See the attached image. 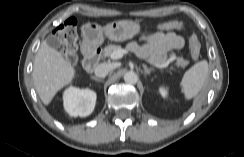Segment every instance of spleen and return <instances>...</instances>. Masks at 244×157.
I'll list each match as a JSON object with an SVG mask.
<instances>
[{
  "instance_id": "3e777b00",
  "label": "spleen",
  "mask_w": 244,
  "mask_h": 157,
  "mask_svg": "<svg viewBox=\"0 0 244 157\" xmlns=\"http://www.w3.org/2000/svg\"><path fill=\"white\" fill-rule=\"evenodd\" d=\"M208 68L207 60H201L184 73L180 87L185 99L190 100L200 92L206 81Z\"/></svg>"
}]
</instances>
